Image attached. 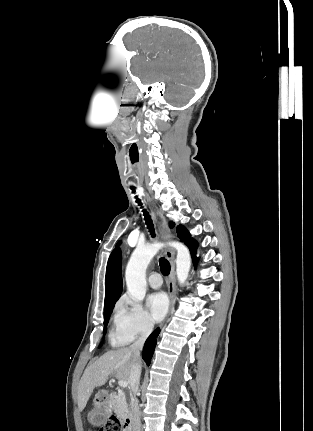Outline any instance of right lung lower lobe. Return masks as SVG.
I'll return each instance as SVG.
<instances>
[{
    "mask_svg": "<svg viewBox=\"0 0 313 431\" xmlns=\"http://www.w3.org/2000/svg\"><path fill=\"white\" fill-rule=\"evenodd\" d=\"M160 332V329H155L152 334L148 337V339L145 342L144 348H143V354L142 358L146 362V364L149 366L151 363V359L154 353V349L157 342V337Z\"/></svg>",
    "mask_w": 313,
    "mask_h": 431,
    "instance_id": "1",
    "label": "right lung lower lobe"
}]
</instances>
